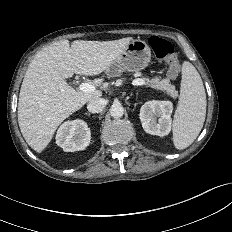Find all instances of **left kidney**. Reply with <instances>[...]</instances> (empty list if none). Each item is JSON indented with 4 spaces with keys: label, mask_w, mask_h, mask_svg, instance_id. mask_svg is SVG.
Masks as SVG:
<instances>
[{
    "label": "left kidney",
    "mask_w": 232,
    "mask_h": 232,
    "mask_svg": "<svg viewBox=\"0 0 232 232\" xmlns=\"http://www.w3.org/2000/svg\"><path fill=\"white\" fill-rule=\"evenodd\" d=\"M173 105L170 101H148L140 108V120L146 133L166 136L171 131ZM156 117H159L156 121Z\"/></svg>",
    "instance_id": "5707ae66"
}]
</instances>
